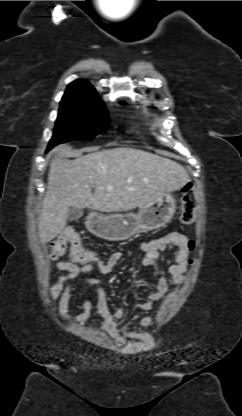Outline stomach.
<instances>
[{
	"label": "stomach",
	"mask_w": 242,
	"mask_h": 416,
	"mask_svg": "<svg viewBox=\"0 0 242 416\" xmlns=\"http://www.w3.org/2000/svg\"><path fill=\"white\" fill-rule=\"evenodd\" d=\"M176 211V200L166 193L143 207L137 214L88 215L87 229L97 237L108 241H122L131 236L159 229L168 223Z\"/></svg>",
	"instance_id": "obj_1"
}]
</instances>
